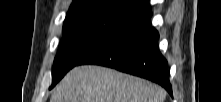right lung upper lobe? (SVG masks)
Segmentation results:
<instances>
[{
  "mask_svg": "<svg viewBox=\"0 0 221 102\" xmlns=\"http://www.w3.org/2000/svg\"><path fill=\"white\" fill-rule=\"evenodd\" d=\"M98 1H108L112 3H117L125 7L137 9L142 13L147 12L148 10L151 9L147 0H73L69 8V11L75 10L89 3L98 2Z\"/></svg>",
  "mask_w": 221,
  "mask_h": 102,
  "instance_id": "right-lung-upper-lobe-1",
  "label": "right lung upper lobe"
}]
</instances>
